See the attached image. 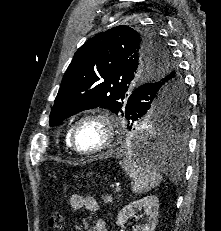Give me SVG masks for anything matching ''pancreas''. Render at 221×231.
Segmentation results:
<instances>
[{"mask_svg": "<svg viewBox=\"0 0 221 231\" xmlns=\"http://www.w3.org/2000/svg\"><path fill=\"white\" fill-rule=\"evenodd\" d=\"M102 199H103L104 203H112L113 202V197L111 195L102 196Z\"/></svg>", "mask_w": 221, "mask_h": 231, "instance_id": "obj_1", "label": "pancreas"}]
</instances>
